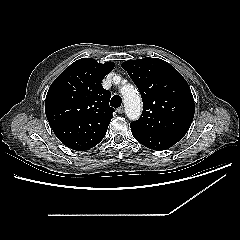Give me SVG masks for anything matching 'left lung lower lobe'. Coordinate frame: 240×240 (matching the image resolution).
Instances as JSON below:
<instances>
[{
    "label": "left lung lower lobe",
    "mask_w": 240,
    "mask_h": 240,
    "mask_svg": "<svg viewBox=\"0 0 240 240\" xmlns=\"http://www.w3.org/2000/svg\"><path fill=\"white\" fill-rule=\"evenodd\" d=\"M131 131L136 140H138L145 147L153 150H166L184 137L183 134L177 133H143L132 128Z\"/></svg>",
    "instance_id": "1"
}]
</instances>
